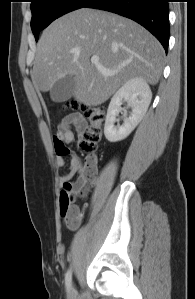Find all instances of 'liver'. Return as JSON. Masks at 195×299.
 I'll list each match as a JSON object with an SVG mask.
<instances>
[{"instance_id":"6515ba94","label":"liver","mask_w":195,"mask_h":299,"mask_svg":"<svg viewBox=\"0 0 195 299\" xmlns=\"http://www.w3.org/2000/svg\"><path fill=\"white\" fill-rule=\"evenodd\" d=\"M94 56L111 75L91 63ZM163 59L162 45L138 23L114 13L81 8L43 31L31 78L36 90L47 92L59 79L73 76L76 101L98 106L132 78L155 85Z\"/></svg>"}]
</instances>
